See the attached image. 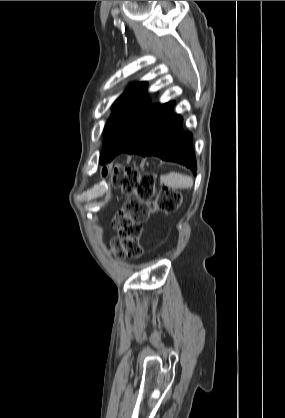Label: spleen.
Listing matches in <instances>:
<instances>
[{
    "label": "spleen",
    "mask_w": 285,
    "mask_h": 418,
    "mask_svg": "<svg viewBox=\"0 0 285 418\" xmlns=\"http://www.w3.org/2000/svg\"><path fill=\"white\" fill-rule=\"evenodd\" d=\"M160 180L168 187L176 189H190L193 186V179L191 177L177 172L161 175Z\"/></svg>",
    "instance_id": "3e777b00"
}]
</instances>
